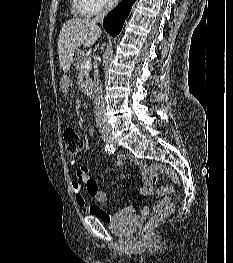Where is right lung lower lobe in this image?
Returning a JSON list of instances; mask_svg holds the SVG:
<instances>
[{
	"label": "right lung lower lobe",
	"mask_w": 233,
	"mask_h": 263,
	"mask_svg": "<svg viewBox=\"0 0 233 263\" xmlns=\"http://www.w3.org/2000/svg\"><path fill=\"white\" fill-rule=\"evenodd\" d=\"M136 0H122L103 20L104 29L114 37L121 31Z\"/></svg>",
	"instance_id": "obj_1"
}]
</instances>
